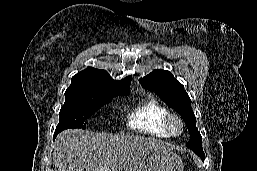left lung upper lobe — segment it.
<instances>
[{"mask_svg": "<svg viewBox=\"0 0 257 171\" xmlns=\"http://www.w3.org/2000/svg\"><path fill=\"white\" fill-rule=\"evenodd\" d=\"M140 83L145 89L157 93L165 103L181 115L190 133L188 148L194 152L203 151L202 137L196 128L191 99L184 90V86L174 78L172 73L162 69L154 70L141 78Z\"/></svg>", "mask_w": 257, "mask_h": 171, "instance_id": "left-lung-upper-lobe-1", "label": "left lung upper lobe"}]
</instances>
